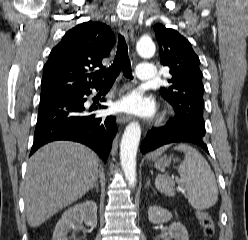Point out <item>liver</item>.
Wrapping results in <instances>:
<instances>
[{"instance_id": "liver-1", "label": "liver", "mask_w": 248, "mask_h": 240, "mask_svg": "<svg viewBox=\"0 0 248 240\" xmlns=\"http://www.w3.org/2000/svg\"><path fill=\"white\" fill-rule=\"evenodd\" d=\"M98 178V157L88 147L56 141L29 159L24 185L27 222L38 227L87 193Z\"/></svg>"}]
</instances>
